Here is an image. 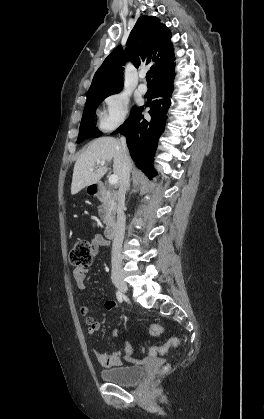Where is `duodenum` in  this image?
I'll return each mask as SVG.
<instances>
[{
	"label": "duodenum",
	"instance_id": "410a0bca",
	"mask_svg": "<svg viewBox=\"0 0 264 419\" xmlns=\"http://www.w3.org/2000/svg\"><path fill=\"white\" fill-rule=\"evenodd\" d=\"M92 194L100 199L105 200L113 197V194L108 192L102 184H96L92 187ZM105 237L113 239L117 234V222L115 219H110L104 231Z\"/></svg>",
	"mask_w": 264,
	"mask_h": 419
}]
</instances>
